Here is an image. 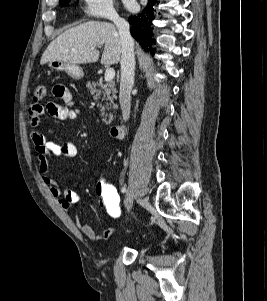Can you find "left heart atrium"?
Segmentation results:
<instances>
[{
  "mask_svg": "<svg viewBox=\"0 0 267 301\" xmlns=\"http://www.w3.org/2000/svg\"><path fill=\"white\" fill-rule=\"evenodd\" d=\"M125 4L128 8H132L134 6L133 0H125Z\"/></svg>",
  "mask_w": 267,
  "mask_h": 301,
  "instance_id": "39dd6f15",
  "label": "left heart atrium"
}]
</instances>
